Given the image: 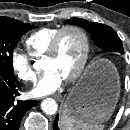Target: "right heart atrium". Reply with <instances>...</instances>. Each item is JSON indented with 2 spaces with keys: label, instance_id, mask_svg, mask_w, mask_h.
Returning <instances> with one entry per match:
<instances>
[{
  "label": "right heart atrium",
  "instance_id": "right-heart-atrium-1",
  "mask_svg": "<svg viewBox=\"0 0 130 130\" xmlns=\"http://www.w3.org/2000/svg\"><path fill=\"white\" fill-rule=\"evenodd\" d=\"M11 67L14 73L23 81H35L37 74L33 68L30 56L19 49H14L10 57Z\"/></svg>",
  "mask_w": 130,
  "mask_h": 130
}]
</instances>
